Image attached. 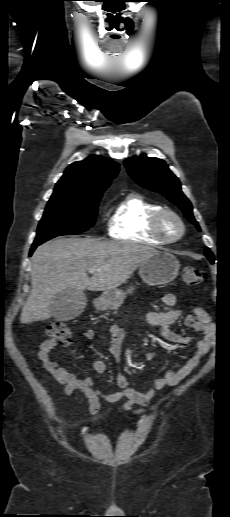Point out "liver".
Masks as SVG:
<instances>
[{"label": "liver", "instance_id": "1", "mask_svg": "<svg viewBox=\"0 0 230 517\" xmlns=\"http://www.w3.org/2000/svg\"><path fill=\"white\" fill-rule=\"evenodd\" d=\"M156 252L150 246L94 238H58L40 245L31 259L32 289L20 322L49 319L52 299L59 292L116 289ZM91 267L98 270L89 278Z\"/></svg>", "mask_w": 230, "mask_h": 517}]
</instances>
